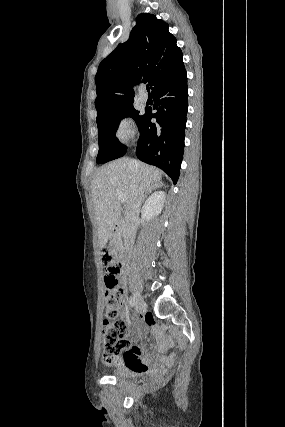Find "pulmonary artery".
<instances>
[{
  "mask_svg": "<svg viewBox=\"0 0 285 427\" xmlns=\"http://www.w3.org/2000/svg\"><path fill=\"white\" fill-rule=\"evenodd\" d=\"M138 99H139L141 102H146V101L148 100V95H147L146 91H145L143 88H141V89L139 90V93H138Z\"/></svg>",
  "mask_w": 285,
  "mask_h": 427,
  "instance_id": "obj_1",
  "label": "pulmonary artery"
}]
</instances>
